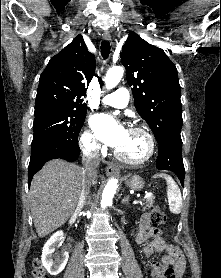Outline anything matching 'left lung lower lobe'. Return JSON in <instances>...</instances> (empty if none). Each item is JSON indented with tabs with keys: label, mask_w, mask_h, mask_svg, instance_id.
<instances>
[{
	"label": "left lung lower lobe",
	"mask_w": 221,
	"mask_h": 278,
	"mask_svg": "<svg viewBox=\"0 0 221 278\" xmlns=\"http://www.w3.org/2000/svg\"><path fill=\"white\" fill-rule=\"evenodd\" d=\"M159 143L156 167L159 170H169L174 172L184 185L185 169L182 159L181 138L166 137Z\"/></svg>",
	"instance_id": "obj_1"
}]
</instances>
